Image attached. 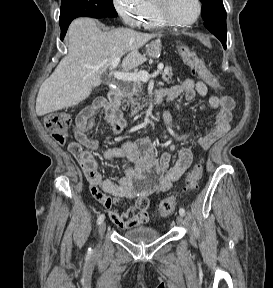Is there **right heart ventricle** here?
Returning a JSON list of instances; mask_svg holds the SVG:
<instances>
[{"label":"right heart ventricle","instance_id":"1","mask_svg":"<svg viewBox=\"0 0 273 288\" xmlns=\"http://www.w3.org/2000/svg\"><path fill=\"white\" fill-rule=\"evenodd\" d=\"M139 25L147 29H157L165 26L156 13L153 0H147V7L140 19Z\"/></svg>","mask_w":273,"mask_h":288}]
</instances>
